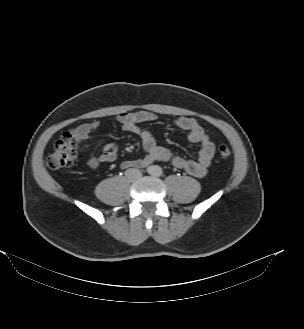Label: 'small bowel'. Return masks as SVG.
<instances>
[{"mask_svg": "<svg viewBox=\"0 0 304 329\" xmlns=\"http://www.w3.org/2000/svg\"><path fill=\"white\" fill-rule=\"evenodd\" d=\"M157 119V115L148 111L124 112L117 116L118 124L127 132L137 135L142 143L146 156L139 160H125L121 163L122 168L136 166H147L153 162H170L175 167L186 171L195 177L206 175L211 164L215 147L214 143L205 132L201 123L190 117H179L170 120V123L187 133L188 140L200 147L197 159H186L179 155H173L167 148L159 145L154 136L141 125ZM100 123L92 121L77 126L72 129V133L77 137L80 151L85 157L87 165L96 170L101 163L113 162L118 156V146L110 143L101 147L100 154L93 156L89 153L87 141L92 140Z\"/></svg>", "mask_w": 304, "mask_h": 329, "instance_id": "obj_1", "label": "small bowel"}]
</instances>
